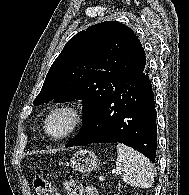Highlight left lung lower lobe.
<instances>
[{"mask_svg":"<svg viewBox=\"0 0 189 195\" xmlns=\"http://www.w3.org/2000/svg\"><path fill=\"white\" fill-rule=\"evenodd\" d=\"M112 142L132 147L155 161L156 110L146 71L113 91L65 147Z\"/></svg>","mask_w":189,"mask_h":195,"instance_id":"obj_1","label":"left lung lower lobe"}]
</instances>
